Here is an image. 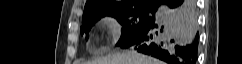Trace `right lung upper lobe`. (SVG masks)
Here are the masks:
<instances>
[{
  "label": "right lung upper lobe",
  "instance_id": "obj_1",
  "mask_svg": "<svg viewBox=\"0 0 242 64\" xmlns=\"http://www.w3.org/2000/svg\"><path fill=\"white\" fill-rule=\"evenodd\" d=\"M160 0H87L83 17L120 10H127L139 6L155 7Z\"/></svg>",
  "mask_w": 242,
  "mask_h": 64
}]
</instances>
